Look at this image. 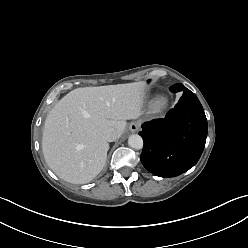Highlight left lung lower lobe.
I'll return each instance as SVG.
<instances>
[{
  "label": "left lung lower lobe",
  "mask_w": 248,
  "mask_h": 248,
  "mask_svg": "<svg viewBox=\"0 0 248 248\" xmlns=\"http://www.w3.org/2000/svg\"><path fill=\"white\" fill-rule=\"evenodd\" d=\"M166 117L142 124L143 166L160 177L178 176L199 160L207 137V119L201 103L190 90L182 92Z\"/></svg>",
  "instance_id": "left-lung-lower-lobe-1"
}]
</instances>
